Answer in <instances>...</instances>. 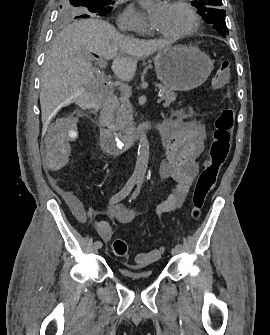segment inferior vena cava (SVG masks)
Returning <instances> with one entry per match:
<instances>
[{
  "label": "inferior vena cava",
  "mask_w": 270,
  "mask_h": 335,
  "mask_svg": "<svg viewBox=\"0 0 270 335\" xmlns=\"http://www.w3.org/2000/svg\"><path fill=\"white\" fill-rule=\"evenodd\" d=\"M117 26H118L119 30H121V32H126L127 24H126L125 20H122V18H120V20H117Z\"/></svg>",
  "instance_id": "obj_1"
}]
</instances>
